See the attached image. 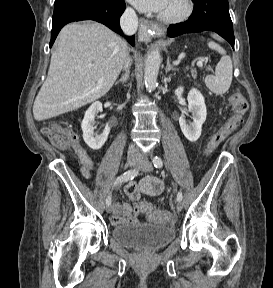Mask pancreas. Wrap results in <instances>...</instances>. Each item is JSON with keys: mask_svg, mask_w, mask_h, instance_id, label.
<instances>
[{"mask_svg": "<svg viewBox=\"0 0 273 288\" xmlns=\"http://www.w3.org/2000/svg\"><path fill=\"white\" fill-rule=\"evenodd\" d=\"M191 72H192V74H194V73H195V71H194V70H192Z\"/></svg>", "mask_w": 273, "mask_h": 288, "instance_id": "cf45deb5", "label": "pancreas"}]
</instances>
